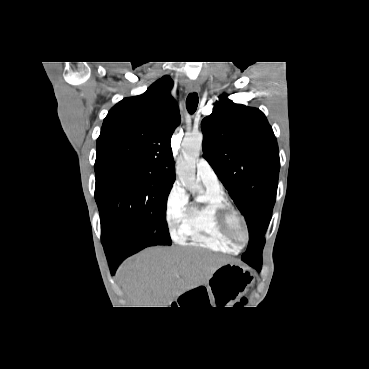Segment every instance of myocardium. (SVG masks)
Returning a JSON list of instances; mask_svg holds the SVG:
<instances>
[{
  "instance_id": "f54148a6",
  "label": "myocardium",
  "mask_w": 369,
  "mask_h": 369,
  "mask_svg": "<svg viewBox=\"0 0 369 369\" xmlns=\"http://www.w3.org/2000/svg\"><path fill=\"white\" fill-rule=\"evenodd\" d=\"M218 223L227 239L238 248L249 243L250 234L246 221L236 209L229 205L222 208L218 214ZM238 229L242 231L243 238L238 237Z\"/></svg>"
}]
</instances>
